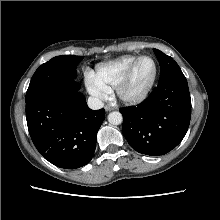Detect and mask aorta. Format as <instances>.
I'll use <instances>...</instances> for the list:
<instances>
[{
  "label": "aorta",
  "mask_w": 220,
  "mask_h": 220,
  "mask_svg": "<svg viewBox=\"0 0 220 220\" xmlns=\"http://www.w3.org/2000/svg\"><path fill=\"white\" fill-rule=\"evenodd\" d=\"M122 120H123L122 114L118 111L111 112L108 115V121L112 125H119L121 124Z\"/></svg>",
  "instance_id": "1"
}]
</instances>
